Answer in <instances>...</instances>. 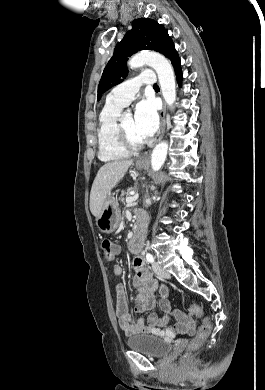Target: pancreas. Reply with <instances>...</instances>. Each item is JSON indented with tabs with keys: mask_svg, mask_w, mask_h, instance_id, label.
Listing matches in <instances>:
<instances>
[{
	"mask_svg": "<svg viewBox=\"0 0 265 390\" xmlns=\"http://www.w3.org/2000/svg\"><path fill=\"white\" fill-rule=\"evenodd\" d=\"M130 191H131V188L127 189V191H125V192H123V193L121 194V196H120V201H121L122 203H124V196H125V194L129 195V194H130Z\"/></svg>",
	"mask_w": 265,
	"mask_h": 390,
	"instance_id": "pancreas-1",
	"label": "pancreas"
}]
</instances>
